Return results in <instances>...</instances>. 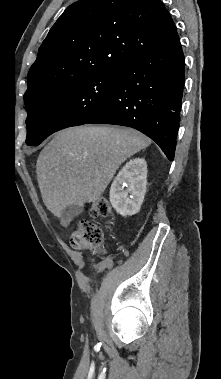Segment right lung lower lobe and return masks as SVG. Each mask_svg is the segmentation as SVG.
Segmentation results:
<instances>
[{
    "label": "right lung lower lobe",
    "mask_w": 221,
    "mask_h": 379,
    "mask_svg": "<svg viewBox=\"0 0 221 379\" xmlns=\"http://www.w3.org/2000/svg\"><path fill=\"white\" fill-rule=\"evenodd\" d=\"M184 81V54L177 36L120 67L112 98L86 123L135 128L154 140L172 161Z\"/></svg>",
    "instance_id": "obj_1"
}]
</instances>
